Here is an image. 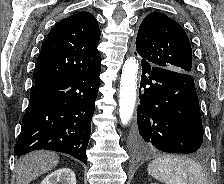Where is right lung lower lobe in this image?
<instances>
[{
	"label": "right lung lower lobe",
	"instance_id": "98d812e1",
	"mask_svg": "<svg viewBox=\"0 0 224 184\" xmlns=\"http://www.w3.org/2000/svg\"><path fill=\"white\" fill-rule=\"evenodd\" d=\"M100 69L35 83L14 155L46 149L86 164Z\"/></svg>",
	"mask_w": 224,
	"mask_h": 184
}]
</instances>
